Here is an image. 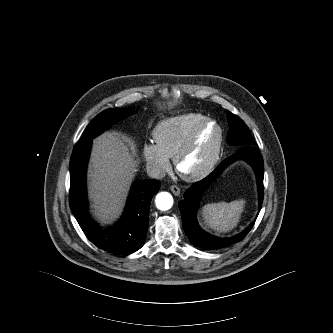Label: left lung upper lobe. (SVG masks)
<instances>
[{
  "label": "left lung upper lobe",
  "instance_id": "1",
  "mask_svg": "<svg viewBox=\"0 0 333 333\" xmlns=\"http://www.w3.org/2000/svg\"><path fill=\"white\" fill-rule=\"evenodd\" d=\"M227 118L229 124V131L227 135V142L229 144L243 146H252L254 141L250 135L247 125L236 115L227 111Z\"/></svg>",
  "mask_w": 333,
  "mask_h": 333
}]
</instances>
